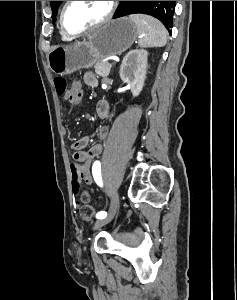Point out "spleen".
<instances>
[{"label": "spleen", "instance_id": "obj_1", "mask_svg": "<svg viewBox=\"0 0 237 300\" xmlns=\"http://www.w3.org/2000/svg\"><path fill=\"white\" fill-rule=\"evenodd\" d=\"M129 19L137 29L139 47H165L167 31L160 21L149 15H130Z\"/></svg>", "mask_w": 237, "mask_h": 300}]
</instances>
